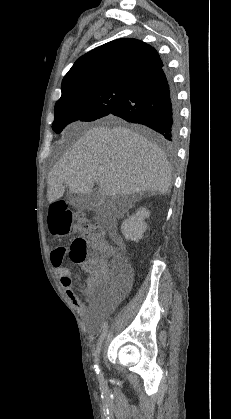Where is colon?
I'll return each instance as SVG.
<instances>
[{"label": "colon", "mask_w": 231, "mask_h": 419, "mask_svg": "<svg viewBox=\"0 0 231 419\" xmlns=\"http://www.w3.org/2000/svg\"><path fill=\"white\" fill-rule=\"evenodd\" d=\"M49 224L60 234L80 232L84 237L76 238L70 245L69 257L75 263H86L89 282L109 284L113 291L121 290L122 282L130 276L128 264L120 257H114L111 264L106 259L113 249L98 238V232L82 215L74 213L64 202H54L50 207ZM60 263V259H56Z\"/></svg>", "instance_id": "1"}]
</instances>
